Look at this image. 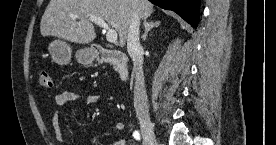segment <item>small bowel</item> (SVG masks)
I'll use <instances>...</instances> for the list:
<instances>
[{"mask_svg":"<svg viewBox=\"0 0 276 145\" xmlns=\"http://www.w3.org/2000/svg\"><path fill=\"white\" fill-rule=\"evenodd\" d=\"M102 100V97L95 94H83L77 91L65 90L58 93L55 96V106L56 109L51 117V127L55 136V139L63 144L64 136L60 126V109L67 105L70 102L81 101L83 105L89 106L96 103H99ZM125 128L123 122L118 121L115 123V129L118 132H122ZM114 145H127L126 140L118 139Z\"/></svg>","mask_w":276,"mask_h":145,"instance_id":"c3829d8e","label":"small bowel"}]
</instances>
